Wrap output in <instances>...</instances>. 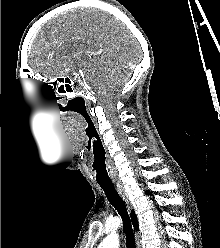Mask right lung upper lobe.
<instances>
[{
	"label": "right lung upper lobe",
	"mask_w": 220,
	"mask_h": 248,
	"mask_svg": "<svg viewBox=\"0 0 220 248\" xmlns=\"http://www.w3.org/2000/svg\"><path fill=\"white\" fill-rule=\"evenodd\" d=\"M131 218H132L134 229L139 230L138 221H137V217L135 215L134 210L131 211Z\"/></svg>",
	"instance_id": "1"
}]
</instances>
